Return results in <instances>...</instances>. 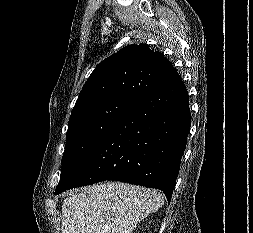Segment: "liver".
Masks as SVG:
<instances>
[{
	"label": "liver",
	"instance_id": "obj_1",
	"mask_svg": "<svg viewBox=\"0 0 253 233\" xmlns=\"http://www.w3.org/2000/svg\"><path fill=\"white\" fill-rule=\"evenodd\" d=\"M164 204L157 190L121 182L85 187L64 199L61 233H132Z\"/></svg>",
	"mask_w": 253,
	"mask_h": 233
}]
</instances>
